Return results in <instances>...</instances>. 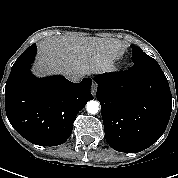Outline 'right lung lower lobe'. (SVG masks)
Returning a JSON list of instances; mask_svg holds the SVG:
<instances>
[{"label": "right lung lower lobe", "instance_id": "obj_1", "mask_svg": "<svg viewBox=\"0 0 178 178\" xmlns=\"http://www.w3.org/2000/svg\"><path fill=\"white\" fill-rule=\"evenodd\" d=\"M36 52V44L31 45L12 66L5 110L11 125L26 140L56 146L70 137L78 112L93 99L92 80L76 84L63 76L37 78L30 71Z\"/></svg>", "mask_w": 178, "mask_h": 178}]
</instances>
